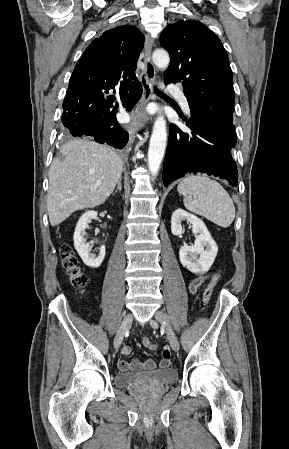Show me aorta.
Instances as JSON below:
<instances>
[{
	"mask_svg": "<svg viewBox=\"0 0 289 449\" xmlns=\"http://www.w3.org/2000/svg\"><path fill=\"white\" fill-rule=\"evenodd\" d=\"M152 60L156 67L161 70L167 69L170 58L167 51L157 49L153 52ZM167 141L166 120L163 116H158L153 125L148 149V168L150 173L157 175L162 159L164 157Z\"/></svg>",
	"mask_w": 289,
	"mask_h": 449,
	"instance_id": "1",
	"label": "aorta"
}]
</instances>
